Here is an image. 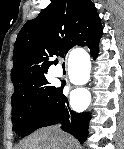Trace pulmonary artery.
<instances>
[{"mask_svg":"<svg viewBox=\"0 0 124 149\" xmlns=\"http://www.w3.org/2000/svg\"><path fill=\"white\" fill-rule=\"evenodd\" d=\"M55 74H56L57 76H62V71H61V69H57V70L55 71Z\"/></svg>","mask_w":124,"mask_h":149,"instance_id":"e3ab8cb5","label":"pulmonary artery"}]
</instances>
